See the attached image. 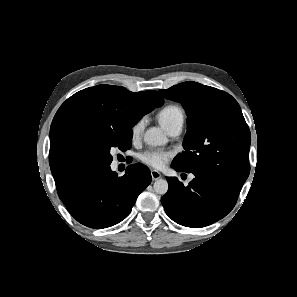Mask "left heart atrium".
Returning <instances> with one entry per match:
<instances>
[{"label":"left heart atrium","instance_id":"39dd6f15","mask_svg":"<svg viewBox=\"0 0 297 297\" xmlns=\"http://www.w3.org/2000/svg\"><path fill=\"white\" fill-rule=\"evenodd\" d=\"M173 156L171 151L164 150H148L141 156V160L144 164L154 168L162 169Z\"/></svg>","mask_w":297,"mask_h":297}]
</instances>
